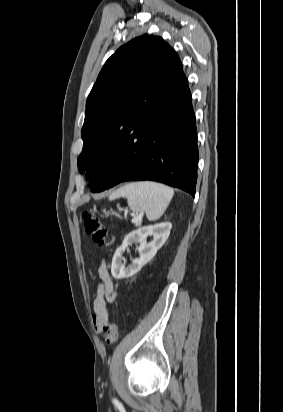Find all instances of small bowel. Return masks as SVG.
Returning <instances> with one entry per match:
<instances>
[{"label":"small bowel","mask_w":283,"mask_h":412,"mask_svg":"<svg viewBox=\"0 0 283 412\" xmlns=\"http://www.w3.org/2000/svg\"><path fill=\"white\" fill-rule=\"evenodd\" d=\"M100 284L97 289V296L93 302V324L98 332L107 321V301H113L116 293L110 275L104 265L99 268Z\"/></svg>","instance_id":"c3829d8e"}]
</instances>
